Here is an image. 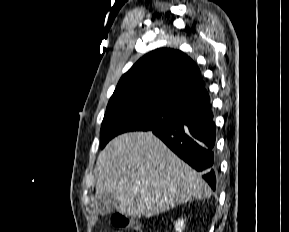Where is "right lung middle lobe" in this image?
<instances>
[{
  "label": "right lung middle lobe",
  "instance_id": "right-lung-middle-lobe-1",
  "mask_svg": "<svg viewBox=\"0 0 289 232\" xmlns=\"http://www.w3.org/2000/svg\"><path fill=\"white\" fill-rule=\"evenodd\" d=\"M182 110L139 97L110 98L101 126V148L127 131H147L178 117Z\"/></svg>",
  "mask_w": 289,
  "mask_h": 232
}]
</instances>
